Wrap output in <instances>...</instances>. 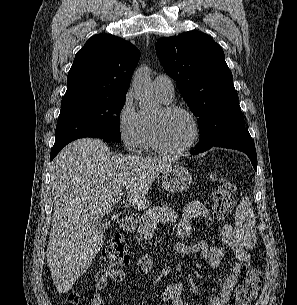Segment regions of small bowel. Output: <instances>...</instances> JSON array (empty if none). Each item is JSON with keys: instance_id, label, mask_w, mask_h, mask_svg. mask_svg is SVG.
Wrapping results in <instances>:
<instances>
[{"instance_id": "small-bowel-1", "label": "small bowel", "mask_w": 297, "mask_h": 305, "mask_svg": "<svg viewBox=\"0 0 297 305\" xmlns=\"http://www.w3.org/2000/svg\"><path fill=\"white\" fill-rule=\"evenodd\" d=\"M209 209L200 202H194L185 207L177 227L179 237H187L200 218L211 219ZM222 244L212 246L206 240H200L195 244L176 243L171 249L173 252L182 255L200 254L210 269H217L221 260L227 257V250H230L236 257L238 263L233 271L227 274L221 281L218 293L208 305H227L231 295L236 288L243 272L244 265L249 262L250 254L243 242L241 235L231 225L226 224L221 231ZM153 267V260L149 255H143L137 264L140 275L148 274ZM126 278L123 270L116 269L111 272H100L95 278V294L89 305H104L106 300L105 288L108 280L115 283H122ZM161 299L170 305H184L183 287L180 283H170L161 292Z\"/></svg>"}]
</instances>
